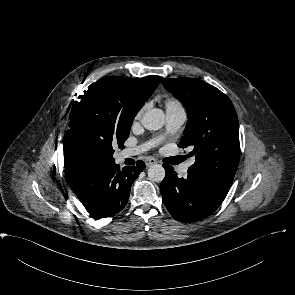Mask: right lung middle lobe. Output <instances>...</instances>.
Segmentation results:
<instances>
[{
    "label": "right lung middle lobe",
    "mask_w": 295,
    "mask_h": 295,
    "mask_svg": "<svg viewBox=\"0 0 295 295\" xmlns=\"http://www.w3.org/2000/svg\"><path fill=\"white\" fill-rule=\"evenodd\" d=\"M71 110L66 138L90 164L114 161L144 105L134 78L104 77L80 95Z\"/></svg>",
    "instance_id": "dd1d6c3e"
}]
</instances>
